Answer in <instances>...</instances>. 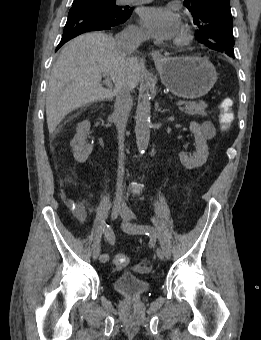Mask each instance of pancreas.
<instances>
[{
  "mask_svg": "<svg viewBox=\"0 0 261 340\" xmlns=\"http://www.w3.org/2000/svg\"><path fill=\"white\" fill-rule=\"evenodd\" d=\"M185 107H181L180 110L188 115L206 116L207 104L204 101L199 102H185Z\"/></svg>",
  "mask_w": 261,
  "mask_h": 340,
  "instance_id": "obj_1",
  "label": "pancreas"
}]
</instances>
